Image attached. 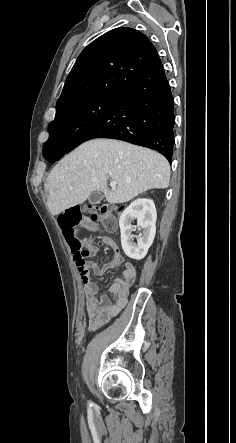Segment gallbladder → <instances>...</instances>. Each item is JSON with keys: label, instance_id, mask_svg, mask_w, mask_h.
<instances>
[{"label": "gallbladder", "instance_id": "obj_1", "mask_svg": "<svg viewBox=\"0 0 236 443\" xmlns=\"http://www.w3.org/2000/svg\"><path fill=\"white\" fill-rule=\"evenodd\" d=\"M104 196L99 191H94L90 197L88 198V201L90 204L95 205L99 204L103 200Z\"/></svg>", "mask_w": 236, "mask_h": 443}]
</instances>
